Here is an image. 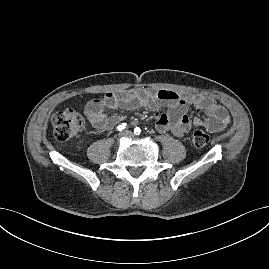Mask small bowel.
<instances>
[{"mask_svg":"<svg viewBox=\"0 0 269 269\" xmlns=\"http://www.w3.org/2000/svg\"><path fill=\"white\" fill-rule=\"evenodd\" d=\"M164 105L168 106L167 112L155 114L156 129L160 133L171 132L177 137H183L192 127L216 132L230 123L227 110L212 97L194 94L181 96L169 90L107 92L102 98L90 101L85 107V114L95 128L110 130L123 117L108 114V111L118 108L132 110L141 106L157 110ZM191 106L201 110L205 117H190L188 108Z\"/></svg>","mask_w":269,"mask_h":269,"instance_id":"1","label":"small bowel"}]
</instances>
